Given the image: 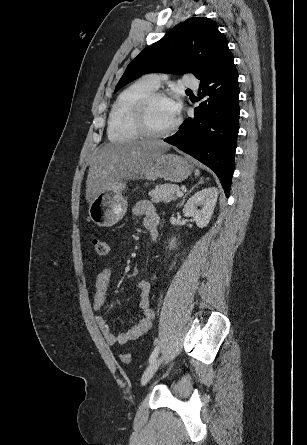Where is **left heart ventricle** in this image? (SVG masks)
Returning <instances> with one entry per match:
<instances>
[{
	"label": "left heart ventricle",
	"instance_id": "obj_1",
	"mask_svg": "<svg viewBox=\"0 0 307 445\" xmlns=\"http://www.w3.org/2000/svg\"><path fill=\"white\" fill-rule=\"evenodd\" d=\"M175 119L170 113L167 100L158 99L151 104L148 120L153 130L164 131L173 124Z\"/></svg>",
	"mask_w": 307,
	"mask_h": 445
}]
</instances>
